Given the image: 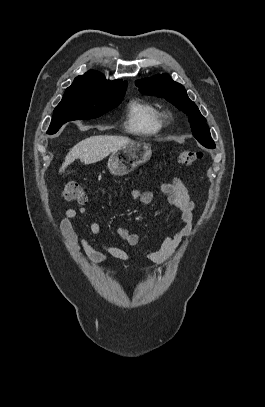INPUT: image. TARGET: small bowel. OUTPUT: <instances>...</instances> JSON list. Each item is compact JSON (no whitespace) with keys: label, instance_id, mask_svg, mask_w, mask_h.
<instances>
[{"label":"small bowel","instance_id":"c3829d8e","mask_svg":"<svg viewBox=\"0 0 265 407\" xmlns=\"http://www.w3.org/2000/svg\"><path fill=\"white\" fill-rule=\"evenodd\" d=\"M159 190L166 196L167 203L181 213L182 225L164 238L158 250L146 253V259L156 265L165 263L182 239L192 233L194 222V204L189 197L186 186L180 179L160 183ZM131 196L142 204H149L153 200V193L151 191L133 189ZM86 213L87 210L83 207L78 210L67 209L65 217L60 223L61 233L74 252L78 256H87L93 264H101L108 257L127 260L129 258L128 254L121 249L102 244L101 250H97L85 237L79 236L74 228L73 220L78 214L85 215ZM89 229L93 235H98L101 231V225L97 221H93L90 223ZM116 232L129 245L136 246L141 242L140 236L131 232L127 227H118Z\"/></svg>","mask_w":265,"mask_h":407}]
</instances>
